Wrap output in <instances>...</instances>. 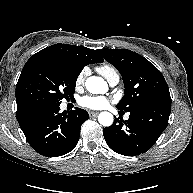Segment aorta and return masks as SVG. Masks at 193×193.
<instances>
[{
    "label": "aorta",
    "mask_w": 193,
    "mask_h": 193,
    "mask_svg": "<svg viewBox=\"0 0 193 193\" xmlns=\"http://www.w3.org/2000/svg\"><path fill=\"white\" fill-rule=\"evenodd\" d=\"M85 86L87 91L92 94H104L108 89L107 83L98 76L88 77ZM98 121L101 125L108 127L113 123V115L110 112H101Z\"/></svg>",
    "instance_id": "obj_1"
}]
</instances>
